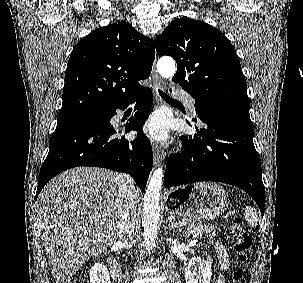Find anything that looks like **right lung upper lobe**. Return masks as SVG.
Masks as SVG:
<instances>
[{"label":"right lung upper lobe","mask_w":303,"mask_h":283,"mask_svg":"<svg viewBox=\"0 0 303 283\" xmlns=\"http://www.w3.org/2000/svg\"><path fill=\"white\" fill-rule=\"evenodd\" d=\"M155 58L152 39L121 21L80 40L70 55L58 117L106 111L134 99L145 88Z\"/></svg>","instance_id":"1"}]
</instances>
